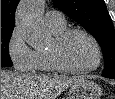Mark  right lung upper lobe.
<instances>
[{
  "mask_svg": "<svg viewBox=\"0 0 115 99\" xmlns=\"http://www.w3.org/2000/svg\"><path fill=\"white\" fill-rule=\"evenodd\" d=\"M18 2L19 0H1V29H14Z\"/></svg>",
  "mask_w": 115,
  "mask_h": 99,
  "instance_id": "1",
  "label": "right lung upper lobe"
}]
</instances>
